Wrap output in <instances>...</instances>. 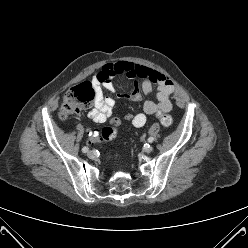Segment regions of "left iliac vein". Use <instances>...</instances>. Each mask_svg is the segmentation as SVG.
<instances>
[{
  "label": "left iliac vein",
  "instance_id": "obj_1",
  "mask_svg": "<svg viewBox=\"0 0 248 248\" xmlns=\"http://www.w3.org/2000/svg\"><path fill=\"white\" fill-rule=\"evenodd\" d=\"M152 150H153V147H152V146H147V147L144 149V151H145L146 153H151Z\"/></svg>",
  "mask_w": 248,
  "mask_h": 248
}]
</instances>
